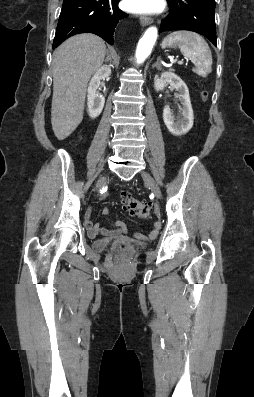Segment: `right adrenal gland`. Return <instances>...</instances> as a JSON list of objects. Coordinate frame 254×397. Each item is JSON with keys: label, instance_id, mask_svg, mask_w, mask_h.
I'll return each mask as SVG.
<instances>
[{"label": "right adrenal gland", "instance_id": "1", "mask_svg": "<svg viewBox=\"0 0 254 397\" xmlns=\"http://www.w3.org/2000/svg\"><path fill=\"white\" fill-rule=\"evenodd\" d=\"M108 61L111 62V58L109 57V52L107 51V57H106V59H105V62H108Z\"/></svg>", "mask_w": 254, "mask_h": 397}]
</instances>
